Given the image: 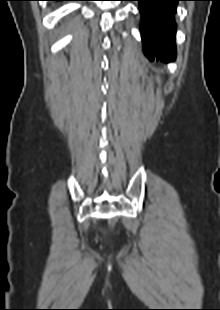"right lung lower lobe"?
I'll return each mask as SVG.
<instances>
[{
  "label": "right lung lower lobe",
  "instance_id": "1",
  "mask_svg": "<svg viewBox=\"0 0 220 310\" xmlns=\"http://www.w3.org/2000/svg\"><path fill=\"white\" fill-rule=\"evenodd\" d=\"M49 1H68V0H49Z\"/></svg>",
  "mask_w": 220,
  "mask_h": 310
}]
</instances>
